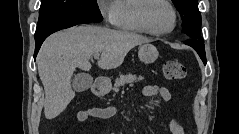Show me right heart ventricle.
<instances>
[{
    "mask_svg": "<svg viewBox=\"0 0 239 134\" xmlns=\"http://www.w3.org/2000/svg\"><path fill=\"white\" fill-rule=\"evenodd\" d=\"M143 0L116 1L115 26L123 31L145 33L138 19V10Z\"/></svg>",
    "mask_w": 239,
    "mask_h": 134,
    "instance_id": "e07e8e85",
    "label": "right heart ventricle"
}]
</instances>
